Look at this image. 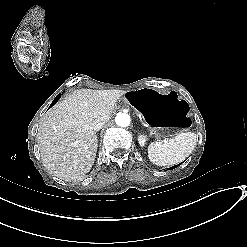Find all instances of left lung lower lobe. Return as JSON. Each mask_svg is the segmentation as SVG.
Segmentation results:
<instances>
[{
  "mask_svg": "<svg viewBox=\"0 0 247 247\" xmlns=\"http://www.w3.org/2000/svg\"><path fill=\"white\" fill-rule=\"evenodd\" d=\"M179 165H180V164H178V165H176V166H173L172 168H169V170L174 169V168L178 167Z\"/></svg>",
  "mask_w": 247,
  "mask_h": 247,
  "instance_id": "left-lung-lower-lobe-1",
  "label": "left lung lower lobe"
}]
</instances>
